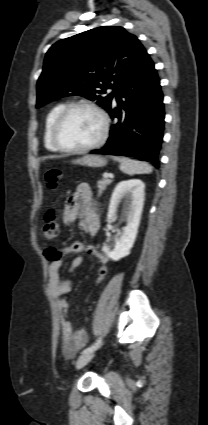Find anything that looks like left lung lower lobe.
Instances as JSON below:
<instances>
[{"instance_id": "left-lung-lower-lobe-1", "label": "left lung lower lobe", "mask_w": 208, "mask_h": 425, "mask_svg": "<svg viewBox=\"0 0 208 425\" xmlns=\"http://www.w3.org/2000/svg\"><path fill=\"white\" fill-rule=\"evenodd\" d=\"M115 96L118 106L111 103L106 111L118 121L111 125L106 145L91 153L135 157L158 168L165 113L160 79L148 54Z\"/></svg>"}]
</instances>
